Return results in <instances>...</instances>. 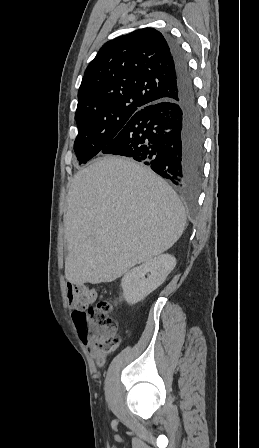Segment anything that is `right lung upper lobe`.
Masks as SVG:
<instances>
[{
    "instance_id": "right-lung-upper-lobe-1",
    "label": "right lung upper lobe",
    "mask_w": 259,
    "mask_h": 448,
    "mask_svg": "<svg viewBox=\"0 0 259 448\" xmlns=\"http://www.w3.org/2000/svg\"><path fill=\"white\" fill-rule=\"evenodd\" d=\"M177 85L166 38L143 28L105 43L88 65L75 115L145 108L171 97Z\"/></svg>"
}]
</instances>
